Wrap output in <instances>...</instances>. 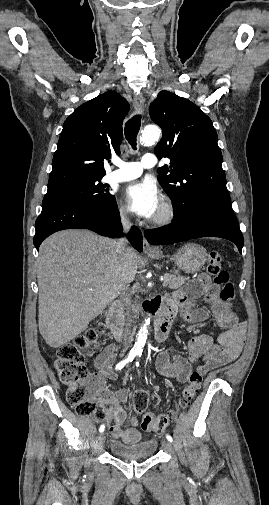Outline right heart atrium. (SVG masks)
<instances>
[{
    "instance_id": "right-heart-atrium-1",
    "label": "right heart atrium",
    "mask_w": 269,
    "mask_h": 505,
    "mask_svg": "<svg viewBox=\"0 0 269 505\" xmlns=\"http://www.w3.org/2000/svg\"><path fill=\"white\" fill-rule=\"evenodd\" d=\"M118 213H119V216L120 218L123 220V221H128L129 218H130V213L128 211V209L124 206H120L119 209H118Z\"/></svg>"
}]
</instances>
